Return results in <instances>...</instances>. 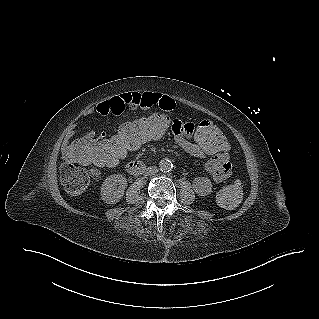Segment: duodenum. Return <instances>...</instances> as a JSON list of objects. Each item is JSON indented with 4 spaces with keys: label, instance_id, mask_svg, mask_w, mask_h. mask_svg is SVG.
<instances>
[{
    "label": "duodenum",
    "instance_id": "1",
    "mask_svg": "<svg viewBox=\"0 0 319 319\" xmlns=\"http://www.w3.org/2000/svg\"><path fill=\"white\" fill-rule=\"evenodd\" d=\"M127 169L132 175H140L145 172L146 167L140 162L133 161L128 164Z\"/></svg>",
    "mask_w": 319,
    "mask_h": 319
}]
</instances>
